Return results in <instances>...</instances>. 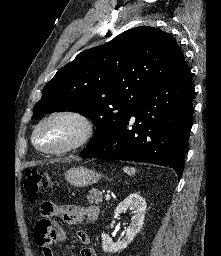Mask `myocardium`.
Instances as JSON below:
<instances>
[{
  "mask_svg": "<svg viewBox=\"0 0 221 256\" xmlns=\"http://www.w3.org/2000/svg\"><path fill=\"white\" fill-rule=\"evenodd\" d=\"M59 118H66L76 122L79 127L78 135L74 140L60 147L46 148L41 146L37 141L39 130L46 123ZM94 134L95 124L87 114L76 109H59L49 113L37 123L32 133V142L37 149L44 153L64 154L85 146L91 141Z\"/></svg>",
  "mask_w": 221,
  "mask_h": 256,
  "instance_id": "f54148a6",
  "label": "myocardium"
}]
</instances>
